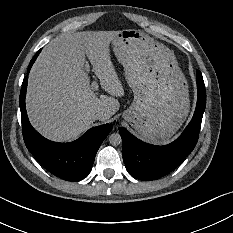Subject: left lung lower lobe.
<instances>
[{"label": "left lung lower lobe", "instance_id": "0a47b994", "mask_svg": "<svg viewBox=\"0 0 233 233\" xmlns=\"http://www.w3.org/2000/svg\"><path fill=\"white\" fill-rule=\"evenodd\" d=\"M197 105L194 116L174 142L154 146L142 142L125 128L120 127L123 159L128 172L141 180H155L173 171L194 149L206 106V91L202 74L197 70Z\"/></svg>", "mask_w": 233, "mask_h": 233}]
</instances>
